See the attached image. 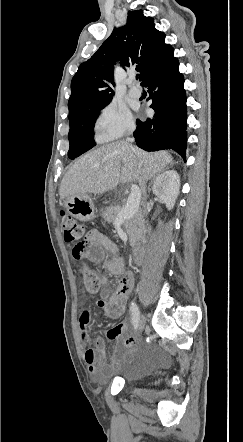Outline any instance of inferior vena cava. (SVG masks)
Listing matches in <instances>:
<instances>
[{"instance_id": "inferior-vena-cava-1", "label": "inferior vena cava", "mask_w": 243, "mask_h": 442, "mask_svg": "<svg viewBox=\"0 0 243 442\" xmlns=\"http://www.w3.org/2000/svg\"><path fill=\"white\" fill-rule=\"evenodd\" d=\"M133 131H134V128H131V129L129 130V132H128V136H127V138H126V140H127L128 142H133V141H134V138L129 137V136L133 133ZM138 182H139V185H140V187H141L142 192L145 193V182H144L143 177H142L141 174H139ZM139 202H140V198L138 199V206H139ZM146 215H147V211H146V209H144V210H143V215H140V219H141V222H142V226H143V228H144V222H145L144 217H145Z\"/></svg>"}]
</instances>
